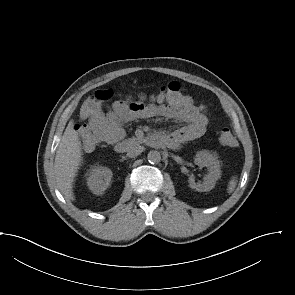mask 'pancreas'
Returning a JSON list of instances; mask_svg holds the SVG:
<instances>
[{
  "label": "pancreas",
  "instance_id": "1",
  "mask_svg": "<svg viewBox=\"0 0 295 295\" xmlns=\"http://www.w3.org/2000/svg\"><path fill=\"white\" fill-rule=\"evenodd\" d=\"M143 142V138L140 137H132L127 140V144L129 146L139 145Z\"/></svg>",
  "mask_w": 295,
  "mask_h": 295
}]
</instances>
